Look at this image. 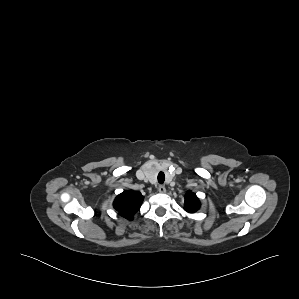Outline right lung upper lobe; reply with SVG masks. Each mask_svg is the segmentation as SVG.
Here are the masks:
<instances>
[{
  "instance_id": "obj_1",
  "label": "right lung upper lobe",
  "mask_w": 299,
  "mask_h": 299,
  "mask_svg": "<svg viewBox=\"0 0 299 299\" xmlns=\"http://www.w3.org/2000/svg\"><path fill=\"white\" fill-rule=\"evenodd\" d=\"M144 196L140 192L127 190L119 194L114 203V208L122 217L132 220L134 214L139 210Z\"/></svg>"
}]
</instances>
